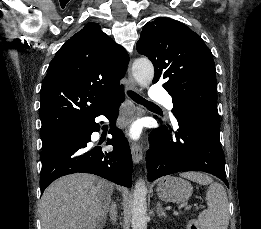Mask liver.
Instances as JSON below:
<instances>
[{"label": "liver", "mask_w": 261, "mask_h": 229, "mask_svg": "<svg viewBox=\"0 0 261 229\" xmlns=\"http://www.w3.org/2000/svg\"><path fill=\"white\" fill-rule=\"evenodd\" d=\"M113 187L87 173L54 181L41 197V229H104Z\"/></svg>", "instance_id": "obj_1"}]
</instances>
